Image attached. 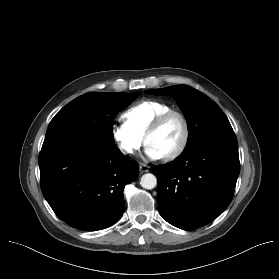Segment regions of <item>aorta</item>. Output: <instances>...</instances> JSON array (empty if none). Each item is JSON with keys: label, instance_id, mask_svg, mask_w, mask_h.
<instances>
[{"label": "aorta", "instance_id": "obj_1", "mask_svg": "<svg viewBox=\"0 0 279 279\" xmlns=\"http://www.w3.org/2000/svg\"><path fill=\"white\" fill-rule=\"evenodd\" d=\"M140 185L148 190H151L157 185V178L151 173L144 174L140 179Z\"/></svg>", "mask_w": 279, "mask_h": 279}]
</instances>
